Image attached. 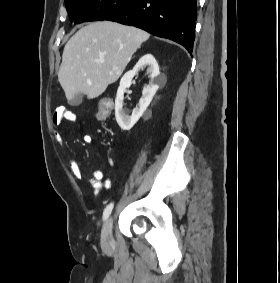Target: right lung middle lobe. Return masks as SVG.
Wrapping results in <instances>:
<instances>
[{
  "mask_svg": "<svg viewBox=\"0 0 280 283\" xmlns=\"http://www.w3.org/2000/svg\"><path fill=\"white\" fill-rule=\"evenodd\" d=\"M132 0H65L71 22L105 20Z\"/></svg>",
  "mask_w": 280,
  "mask_h": 283,
  "instance_id": "1",
  "label": "right lung middle lobe"
}]
</instances>
